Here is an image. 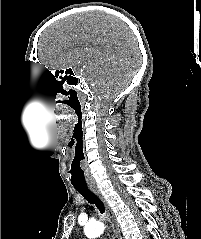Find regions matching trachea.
I'll return each instance as SVG.
<instances>
[{
  "mask_svg": "<svg viewBox=\"0 0 201 239\" xmlns=\"http://www.w3.org/2000/svg\"><path fill=\"white\" fill-rule=\"evenodd\" d=\"M74 187L88 203L94 204L101 214L105 213L104 203L99 199V197L95 193L90 191L87 186H74Z\"/></svg>",
  "mask_w": 201,
  "mask_h": 239,
  "instance_id": "trachea-1",
  "label": "trachea"
}]
</instances>
